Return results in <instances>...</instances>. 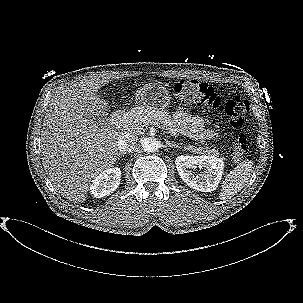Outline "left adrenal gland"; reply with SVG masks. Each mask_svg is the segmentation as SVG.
Segmentation results:
<instances>
[{"label": "left adrenal gland", "instance_id": "left-adrenal-gland-1", "mask_svg": "<svg viewBox=\"0 0 303 303\" xmlns=\"http://www.w3.org/2000/svg\"><path fill=\"white\" fill-rule=\"evenodd\" d=\"M165 142H166L167 146H169V147H177V148H180V146H179L178 144H176L175 142H171V141H169V140H167V139H165Z\"/></svg>", "mask_w": 303, "mask_h": 303}]
</instances>
